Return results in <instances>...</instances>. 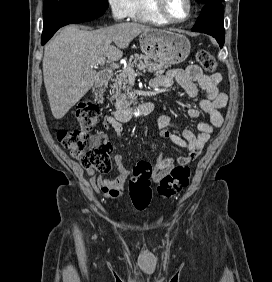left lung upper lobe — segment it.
Here are the masks:
<instances>
[{
	"label": "left lung upper lobe",
	"instance_id": "5c2ea615",
	"mask_svg": "<svg viewBox=\"0 0 272 282\" xmlns=\"http://www.w3.org/2000/svg\"><path fill=\"white\" fill-rule=\"evenodd\" d=\"M197 2L201 4H208V3H221L222 0H196Z\"/></svg>",
	"mask_w": 272,
	"mask_h": 282
}]
</instances>
